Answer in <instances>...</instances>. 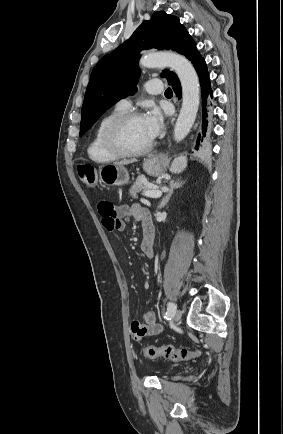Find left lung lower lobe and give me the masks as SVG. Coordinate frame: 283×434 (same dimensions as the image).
<instances>
[{"label":"left lung lower lobe","instance_id":"left-lung-lower-lobe-1","mask_svg":"<svg viewBox=\"0 0 283 434\" xmlns=\"http://www.w3.org/2000/svg\"><path fill=\"white\" fill-rule=\"evenodd\" d=\"M194 68L199 76L202 96L201 128L197 140V144H199V139L201 142L206 143L211 137L213 120V90L211 88V81L205 59L202 58L200 61H198L194 65ZM170 85H172L176 96L180 98L182 92L179 79L175 80Z\"/></svg>","mask_w":283,"mask_h":434}]
</instances>
